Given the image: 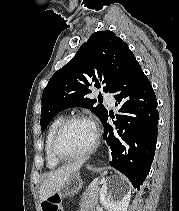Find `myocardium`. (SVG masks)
Instances as JSON below:
<instances>
[{"mask_svg":"<svg viewBox=\"0 0 179 211\" xmlns=\"http://www.w3.org/2000/svg\"><path fill=\"white\" fill-rule=\"evenodd\" d=\"M78 121L89 122L93 125V127L95 129L94 141H93L92 145L82 153H79V154H76V155H65L64 153H62V151L60 150V147H59L61 137H62L64 131L66 130V128L70 124H72L74 122H78ZM99 139H100L99 131L90 118H88L87 116H84V115H73V116L65 118L60 123L58 128L56 129L54 136H53V139H52L51 151H52L53 156L58 161H60V162H71V161H75V160H78V159H83V158L91 155L97 149V147L99 145Z\"/></svg>","mask_w":179,"mask_h":211,"instance_id":"f54148a6","label":"myocardium"}]
</instances>
